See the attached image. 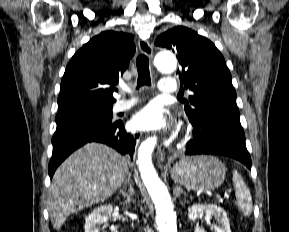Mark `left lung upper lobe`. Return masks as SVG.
Returning <instances> with one entry per match:
<instances>
[{"label": "left lung upper lobe", "mask_w": 289, "mask_h": 232, "mask_svg": "<svg viewBox=\"0 0 289 232\" xmlns=\"http://www.w3.org/2000/svg\"><path fill=\"white\" fill-rule=\"evenodd\" d=\"M155 45L177 53L181 85L194 92L184 108L193 126L212 120L240 123L230 71L210 40L177 26L158 36Z\"/></svg>", "instance_id": "5c2ea615"}]
</instances>
